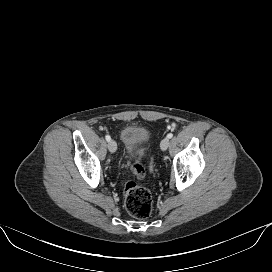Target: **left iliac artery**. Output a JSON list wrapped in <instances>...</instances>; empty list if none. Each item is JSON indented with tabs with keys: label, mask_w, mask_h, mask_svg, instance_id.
Returning <instances> with one entry per match:
<instances>
[{
	"label": "left iliac artery",
	"mask_w": 272,
	"mask_h": 272,
	"mask_svg": "<svg viewBox=\"0 0 272 272\" xmlns=\"http://www.w3.org/2000/svg\"><path fill=\"white\" fill-rule=\"evenodd\" d=\"M173 137L172 133L167 134V138L171 139Z\"/></svg>",
	"instance_id": "1"
}]
</instances>
